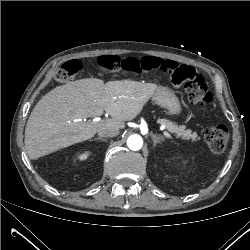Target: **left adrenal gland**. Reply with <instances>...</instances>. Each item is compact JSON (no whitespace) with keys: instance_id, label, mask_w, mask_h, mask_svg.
<instances>
[{"instance_id":"a2214340","label":"left adrenal gland","mask_w":250,"mask_h":250,"mask_svg":"<svg viewBox=\"0 0 250 250\" xmlns=\"http://www.w3.org/2000/svg\"><path fill=\"white\" fill-rule=\"evenodd\" d=\"M151 138H152V140H153V142H154V143H153V147H156L157 144L160 143V142L163 140L162 137L157 136V135L153 134L152 132H151Z\"/></svg>"}]
</instances>
